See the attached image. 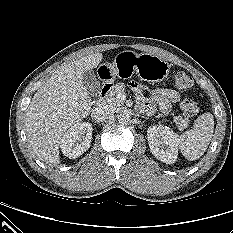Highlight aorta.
<instances>
[{
  "mask_svg": "<svg viewBox=\"0 0 233 233\" xmlns=\"http://www.w3.org/2000/svg\"><path fill=\"white\" fill-rule=\"evenodd\" d=\"M131 117L128 113L122 112L118 115V121L121 124H128L130 123Z\"/></svg>",
  "mask_w": 233,
  "mask_h": 233,
  "instance_id": "1",
  "label": "aorta"
}]
</instances>
